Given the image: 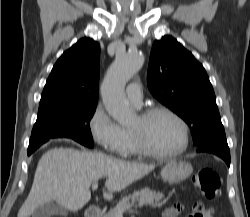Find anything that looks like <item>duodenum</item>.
I'll return each mask as SVG.
<instances>
[{
  "label": "duodenum",
  "mask_w": 250,
  "mask_h": 217,
  "mask_svg": "<svg viewBox=\"0 0 250 217\" xmlns=\"http://www.w3.org/2000/svg\"><path fill=\"white\" fill-rule=\"evenodd\" d=\"M101 210L96 205H90L85 212V217H100Z\"/></svg>",
  "instance_id": "duodenum-1"
}]
</instances>
